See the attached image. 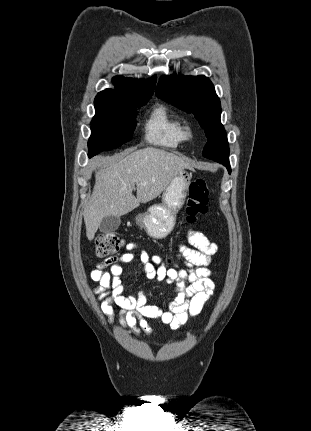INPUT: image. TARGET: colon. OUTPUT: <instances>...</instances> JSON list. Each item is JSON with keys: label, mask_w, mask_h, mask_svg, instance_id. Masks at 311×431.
<instances>
[{"label": "colon", "mask_w": 311, "mask_h": 431, "mask_svg": "<svg viewBox=\"0 0 311 431\" xmlns=\"http://www.w3.org/2000/svg\"><path fill=\"white\" fill-rule=\"evenodd\" d=\"M210 192L204 178H195L189 184L186 206V222L193 224L208 211ZM123 246V240L114 233H104L97 237L95 255L105 258L118 252Z\"/></svg>", "instance_id": "1"}]
</instances>
